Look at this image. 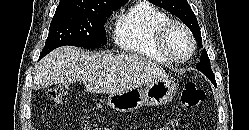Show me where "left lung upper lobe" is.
Returning a JSON list of instances; mask_svg holds the SVG:
<instances>
[{
	"label": "left lung upper lobe",
	"mask_w": 249,
	"mask_h": 130,
	"mask_svg": "<svg viewBox=\"0 0 249 130\" xmlns=\"http://www.w3.org/2000/svg\"><path fill=\"white\" fill-rule=\"evenodd\" d=\"M151 3L163 8L177 16L191 30L200 47H202V38L200 27L195 14L193 13L187 0H149ZM196 69L201 71L215 86L216 81L210 66V60L207 51L204 49L201 53L200 62Z\"/></svg>",
	"instance_id": "5c2ea615"
}]
</instances>
